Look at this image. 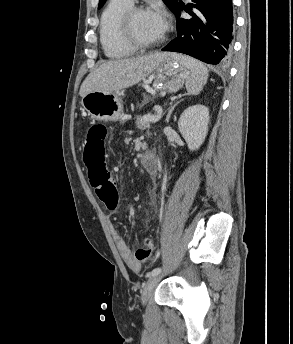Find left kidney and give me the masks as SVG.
Returning a JSON list of instances; mask_svg holds the SVG:
<instances>
[{"instance_id":"left-kidney-1","label":"left kidney","mask_w":293,"mask_h":344,"mask_svg":"<svg viewBox=\"0 0 293 344\" xmlns=\"http://www.w3.org/2000/svg\"><path fill=\"white\" fill-rule=\"evenodd\" d=\"M209 124V109L201 104L188 107L181 114L178 128L190 151L197 150L204 142Z\"/></svg>"}]
</instances>
